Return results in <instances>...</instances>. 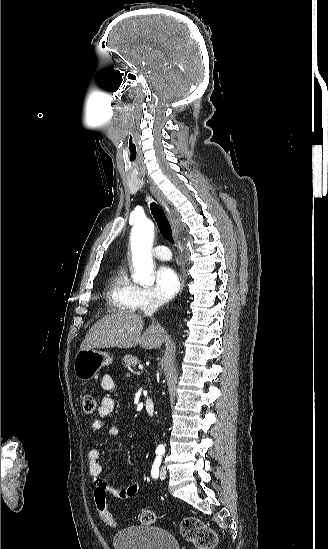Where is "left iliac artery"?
Wrapping results in <instances>:
<instances>
[{
    "instance_id": "44dca946",
    "label": "left iliac artery",
    "mask_w": 328,
    "mask_h": 549,
    "mask_svg": "<svg viewBox=\"0 0 328 549\" xmlns=\"http://www.w3.org/2000/svg\"><path fill=\"white\" fill-rule=\"evenodd\" d=\"M162 457L158 455L153 463L151 475L153 478L157 479L159 476V466L161 465Z\"/></svg>"
}]
</instances>
